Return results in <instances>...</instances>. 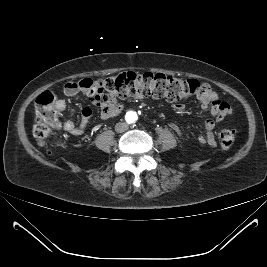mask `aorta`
<instances>
[{
  "instance_id": "obj_1",
  "label": "aorta",
  "mask_w": 267,
  "mask_h": 267,
  "mask_svg": "<svg viewBox=\"0 0 267 267\" xmlns=\"http://www.w3.org/2000/svg\"><path fill=\"white\" fill-rule=\"evenodd\" d=\"M126 118L130 123H135L137 120V114L135 112H129Z\"/></svg>"
}]
</instances>
